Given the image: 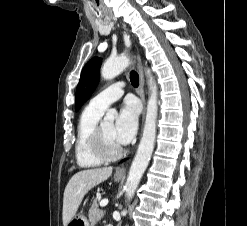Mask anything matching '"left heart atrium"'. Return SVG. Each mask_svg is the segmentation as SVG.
<instances>
[{
	"label": "left heart atrium",
	"mask_w": 247,
	"mask_h": 226,
	"mask_svg": "<svg viewBox=\"0 0 247 226\" xmlns=\"http://www.w3.org/2000/svg\"><path fill=\"white\" fill-rule=\"evenodd\" d=\"M139 107L135 100H126L119 111L114 125V137L121 146L126 145L134 138L138 127Z\"/></svg>",
	"instance_id": "left-heart-atrium-1"
}]
</instances>
